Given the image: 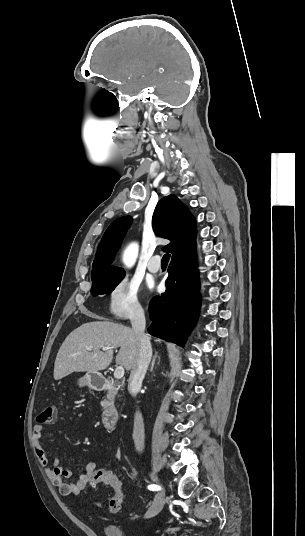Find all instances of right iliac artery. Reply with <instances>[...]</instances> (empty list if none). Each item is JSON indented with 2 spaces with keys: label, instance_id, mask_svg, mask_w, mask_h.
<instances>
[{
  "label": "right iliac artery",
  "instance_id": "82829eb1",
  "mask_svg": "<svg viewBox=\"0 0 305 536\" xmlns=\"http://www.w3.org/2000/svg\"><path fill=\"white\" fill-rule=\"evenodd\" d=\"M148 489L152 490V491H158V490H161V487L159 485H156V484H151V485L148 486Z\"/></svg>",
  "mask_w": 305,
  "mask_h": 536
}]
</instances>
